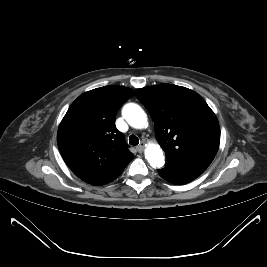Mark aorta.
Instances as JSON below:
<instances>
[{"label": "aorta", "mask_w": 267, "mask_h": 267, "mask_svg": "<svg viewBox=\"0 0 267 267\" xmlns=\"http://www.w3.org/2000/svg\"><path fill=\"white\" fill-rule=\"evenodd\" d=\"M123 118L135 129H142L147 125V114L135 103H128L122 109ZM145 157L153 167H162L165 164V157L158 144H150L145 149Z\"/></svg>", "instance_id": "aorta-1"}]
</instances>
